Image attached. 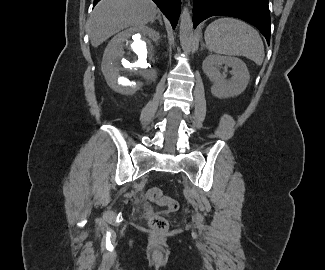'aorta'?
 Here are the masks:
<instances>
[{"label": "aorta", "instance_id": "1", "mask_svg": "<svg viewBox=\"0 0 325 270\" xmlns=\"http://www.w3.org/2000/svg\"><path fill=\"white\" fill-rule=\"evenodd\" d=\"M194 41L193 23L188 7H184L180 17V44L184 53H189Z\"/></svg>", "mask_w": 325, "mask_h": 270}]
</instances>
